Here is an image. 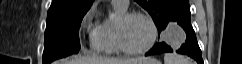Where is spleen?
I'll return each instance as SVG.
<instances>
[{"mask_svg":"<svg viewBox=\"0 0 242 64\" xmlns=\"http://www.w3.org/2000/svg\"><path fill=\"white\" fill-rule=\"evenodd\" d=\"M165 64H191L186 58L176 54H165Z\"/></svg>","mask_w":242,"mask_h":64,"instance_id":"obj_1","label":"spleen"}]
</instances>
